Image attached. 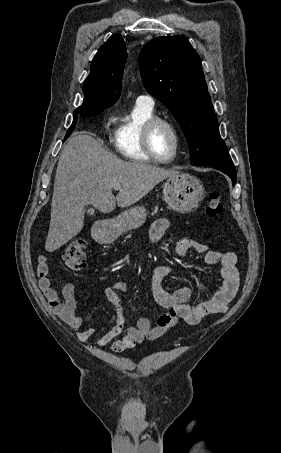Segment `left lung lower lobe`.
<instances>
[{
  "label": "left lung lower lobe",
  "instance_id": "left-lung-lower-lobe-1",
  "mask_svg": "<svg viewBox=\"0 0 281 453\" xmlns=\"http://www.w3.org/2000/svg\"><path fill=\"white\" fill-rule=\"evenodd\" d=\"M207 166L213 167L215 169H218L222 171L223 173L227 174L232 182L233 185L236 183L237 180V175H236V169L234 167V164H208Z\"/></svg>",
  "mask_w": 281,
  "mask_h": 453
}]
</instances>
